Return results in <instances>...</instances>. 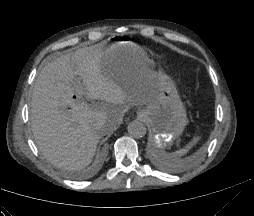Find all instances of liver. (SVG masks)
<instances>
[{"label": "liver", "instance_id": "1", "mask_svg": "<svg viewBox=\"0 0 254 216\" xmlns=\"http://www.w3.org/2000/svg\"><path fill=\"white\" fill-rule=\"evenodd\" d=\"M101 42L63 54L39 73L31 100V126L43 155L56 167L87 166L101 136L113 132L131 106L149 105L152 73L123 75L109 68ZM82 82L91 104L73 98ZM70 108V109H67Z\"/></svg>", "mask_w": 254, "mask_h": 216}]
</instances>
